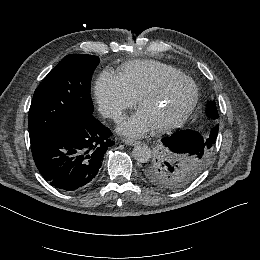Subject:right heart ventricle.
<instances>
[{"label":"right heart ventricle","mask_w":260,"mask_h":260,"mask_svg":"<svg viewBox=\"0 0 260 260\" xmlns=\"http://www.w3.org/2000/svg\"><path fill=\"white\" fill-rule=\"evenodd\" d=\"M180 73L176 68L162 62L139 61L132 63L121 75V79L129 93L138 97L155 80Z\"/></svg>","instance_id":"e07e8e85"}]
</instances>
